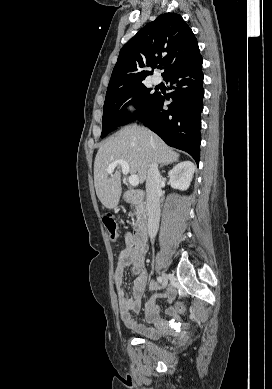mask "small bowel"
Segmentation results:
<instances>
[{
	"label": "small bowel",
	"mask_w": 272,
	"mask_h": 389,
	"mask_svg": "<svg viewBox=\"0 0 272 389\" xmlns=\"http://www.w3.org/2000/svg\"><path fill=\"white\" fill-rule=\"evenodd\" d=\"M147 252L146 244H135L131 236L125 237V245L118 256L117 264L114 272V283L116 295L118 299L120 317L124 325L134 332L149 337L154 330L140 324L133 316V312H138L141 308L142 296L148 282V271L145 266V256ZM131 266L135 275L132 285V296L128 297L123 288L125 270ZM152 290H157V285L151 283ZM160 295L154 294L145 304V321L151 323L159 316V308L155 305V300ZM165 296L169 301L174 297V292L169 290ZM169 313H172V308H168Z\"/></svg>",
	"instance_id": "small-bowel-1"
}]
</instances>
